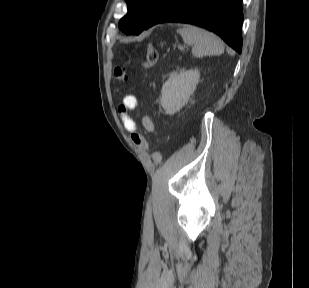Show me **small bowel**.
Wrapping results in <instances>:
<instances>
[{
    "label": "small bowel",
    "instance_id": "c3829d8e",
    "mask_svg": "<svg viewBox=\"0 0 309 288\" xmlns=\"http://www.w3.org/2000/svg\"><path fill=\"white\" fill-rule=\"evenodd\" d=\"M136 106H137V99L134 96L128 95L123 99V108L126 109V112L120 111V115L124 122L125 128L129 133L135 132L138 126L136 122L128 116L127 110H134ZM143 125L148 131L154 130V125L152 121L148 118H145L143 120Z\"/></svg>",
    "mask_w": 309,
    "mask_h": 288
}]
</instances>
